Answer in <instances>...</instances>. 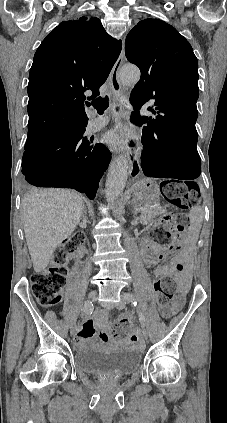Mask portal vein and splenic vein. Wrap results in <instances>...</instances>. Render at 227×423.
Returning <instances> with one entry per match:
<instances>
[{
  "label": "portal vein and splenic vein",
  "instance_id": "18ae733b",
  "mask_svg": "<svg viewBox=\"0 0 227 423\" xmlns=\"http://www.w3.org/2000/svg\"><path fill=\"white\" fill-rule=\"evenodd\" d=\"M145 210H146V208H139L138 211H145Z\"/></svg>",
  "mask_w": 227,
  "mask_h": 423
}]
</instances>
